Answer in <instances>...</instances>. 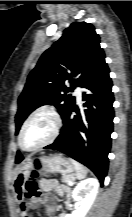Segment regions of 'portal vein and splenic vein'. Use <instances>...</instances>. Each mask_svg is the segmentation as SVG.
<instances>
[{"label":"portal vein and splenic vein","instance_id":"obj_1","mask_svg":"<svg viewBox=\"0 0 132 217\" xmlns=\"http://www.w3.org/2000/svg\"><path fill=\"white\" fill-rule=\"evenodd\" d=\"M69 184H70V185H73V182H70Z\"/></svg>","mask_w":132,"mask_h":217}]
</instances>
